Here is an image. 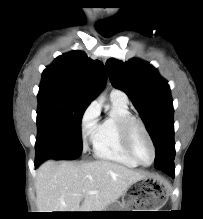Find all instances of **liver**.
<instances>
[{
	"label": "liver",
	"instance_id": "6515ba94",
	"mask_svg": "<svg viewBox=\"0 0 203 219\" xmlns=\"http://www.w3.org/2000/svg\"><path fill=\"white\" fill-rule=\"evenodd\" d=\"M147 176L146 172L106 160H48L37 170L36 205L39 212L103 211L134 182Z\"/></svg>",
	"mask_w": 203,
	"mask_h": 219
}]
</instances>
